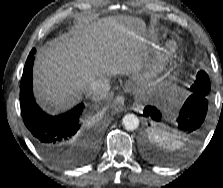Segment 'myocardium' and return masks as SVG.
Instances as JSON below:
<instances>
[{
    "mask_svg": "<svg viewBox=\"0 0 223 188\" xmlns=\"http://www.w3.org/2000/svg\"><path fill=\"white\" fill-rule=\"evenodd\" d=\"M177 50H178L177 42H171L168 48V58L170 61L176 58Z\"/></svg>",
    "mask_w": 223,
    "mask_h": 188,
    "instance_id": "f54148a6",
    "label": "myocardium"
}]
</instances>
